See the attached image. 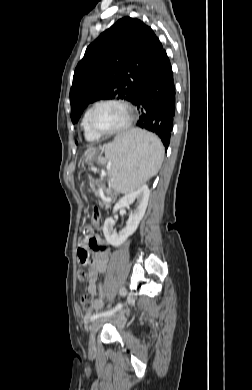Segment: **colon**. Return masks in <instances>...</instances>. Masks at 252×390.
Here are the masks:
<instances>
[{"label": "colon", "mask_w": 252, "mask_h": 390, "mask_svg": "<svg viewBox=\"0 0 252 390\" xmlns=\"http://www.w3.org/2000/svg\"><path fill=\"white\" fill-rule=\"evenodd\" d=\"M100 219V212L98 209H95L93 216H92V222L93 225L96 227L98 226ZM86 255L84 254L82 256V264L86 261ZM78 277L81 281H86L89 279V273L85 268H81L78 272ZM80 305L83 311L90 312L93 309V298L91 295H83L80 300Z\"/></svg>", "instance_id": "obj_1"}]
</instances>
